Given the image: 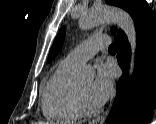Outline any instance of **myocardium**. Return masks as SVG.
Segmentation results:
<instances>
[{"label": "myocardium", "instance_id": "1", "mask_svg": "<svg viewBox=\"0 0 156 124\" xmlns=\"http://www.w3.org/2000/svg\"><path fill=\"white\" fill-rule=\"evenodd\" d=\"M76 93H77V99L82 114L87 116H93L98 114L101 111V105L93 106L88 103V101L86 100L84 94L82 93L78 85H76Z\"/></svg>", "mask_w": 156, "mask_h": 124}]
</instances>
